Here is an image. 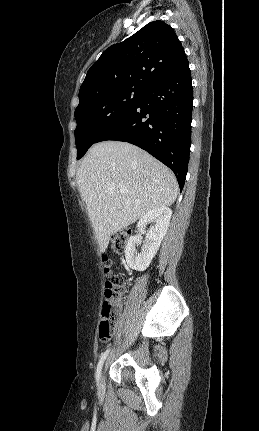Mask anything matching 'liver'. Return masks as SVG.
Returning <instances> with one entry per match:
<instances>
[{"instance_id":"obj_1","label":"liver","mask_w":259,"mask_h":431,"mask_svg":"<svg viewBox=\"0 0 259 431\" xmlns=\"http://www.w3.org/2000/svg\"><path fill=\"white\" fill-rule=\"evenodd\" d=\"M76 179L102 253L112 234L154 208L171 206L178 194L176 177L168 167L120 141L93 145ZM121 186L127 192L121 193Z\"/></svg>"}]
</instances>
